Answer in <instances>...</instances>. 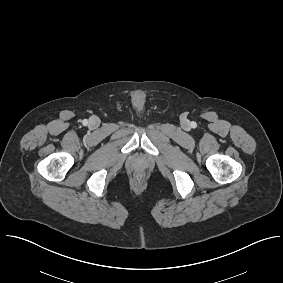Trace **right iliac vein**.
I'll list each match as a JSON object with an SVG mask.
<instances>
[{
	"label": "right iliac vein",
	"mask_w": 283,
	"mask_h": 283,
	"mask_svg": "<svg viewBox=\"0 0 283 283\" xmlns=\"http://www.w3.org/2000/svg\"><path fill=\"white\" fill-rule=\"evenodd\" d=\"M88 124L90 127L96 128L99 126V119L97 117H91Z\"/></svg>",
	"instance_id": "1"
}]
</instances>
